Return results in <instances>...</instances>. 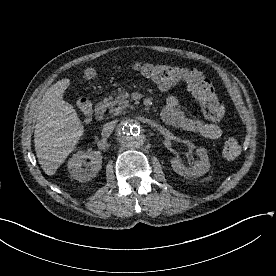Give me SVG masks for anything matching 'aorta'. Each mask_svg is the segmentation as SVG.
Returning <instances> with one entry per match:
<instances>
[{
  "instance_id": "aorta-1",
  "label": "aorta",
  "mask_w": 276,
  "mask_h": 276,
  "mask_svg": "<svg viewBox=\"0 0 276 276\" xmlns=\"http://www.w3.org/2000/svg\"><path fill=\"white\" fill-rule=\"evenodd\" d=\"M118 136L121 142L130 148H137L144 142V135L140 124L134 119H128L118 127Z\"/></svg>"
}]
</instances>
